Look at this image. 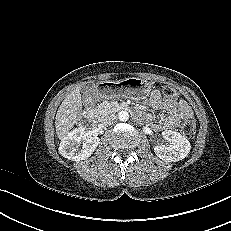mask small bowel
I'll list each match as a JSON object with an SVG mask.
<instances>
[{
    "mask_svg": "<svg viewBox=\"0 0 231 231\" xmlns=\"http://www.w3.org/2000/svg\"><path fill=\"white\" fill-rule=\"evenodd\" d=\"M148 104L156 109L167 112V115L159 122H154L151 115L144 119L151 124L156 130L165 131L177 126L181 119L191 116V108L184 100L163 99L158 90H154L148 100ZM141 114V118H142Z\"/></svg>",
    "mask_w": 231,
    "mask_h": 231,
    "instance_id": "c3829d8e",
    "label": "small bowel"
}]
</instances>
